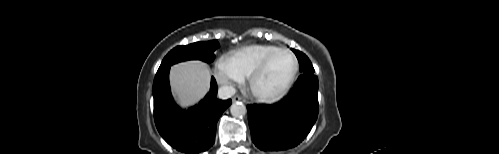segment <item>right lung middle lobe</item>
I'll return each instance as SVG.
<instances>
[{
  "label": "right lung middle lobe",
  "mask_w": 499,
  "mask_h": 154,
  "mask_svg": "<svg viewBox=\"0 0 499 154\" xmlns=\"http://www.w3.org/2000/svg\"><path fill=\"white\" fill-rule=\"evenodd\" d=\"M219 47L215 40L208 42H196L186 46H177L171 50L163 59L158 71L169 68L171 65L192 59H199L210 63L214 60V51Z\"/></svg>",
  "instance_id": "obj_1"
}]
</instances>
